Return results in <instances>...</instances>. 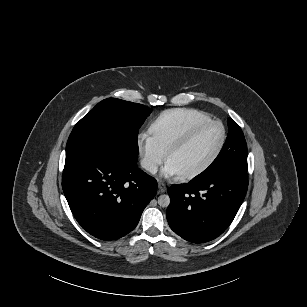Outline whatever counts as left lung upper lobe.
<instances>
[{"label":"left lung upper lobe","instance_id":"left-lung-upper-lobe-1","mask_svg":"<svg viewBox=\"0 0 307 307\" xmlns=\"http://www.w3.org/2000/svg\"><path fill=\"white\" fill-rule=\"evenodd\" d=\"M229 132L223 148L212 164L194 179L222 171L247 173V145L241 128L228 118Z\"/></svg>","mask_w":307,"mask_h":307}]
</instances>
